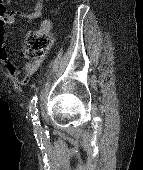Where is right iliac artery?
<instances>
[{
    "instance_id": "obj_1",
    "label": "right iliac artery",
    "mask_w": 143,
    "mask_h": 170,
    "mask_svg": "<svg viewBox=\"0 0 143 170\" xmlns=\"http://www.w3.org/2000/svg\"><path fill=\"white\" fill-rule=\"evenodd\" d=\"M36 104H37V96L33 97V99L31 100V105H30V109L29 112L31 114V117L33 118V124L35 126H38L40 124L39 121H37V108H36Z\"/></svg>"
}]
</instances>
